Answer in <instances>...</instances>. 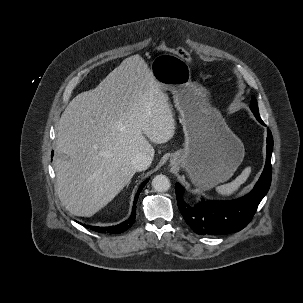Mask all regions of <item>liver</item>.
Here are the masks:
<instances>
[{
  "label": "liver",
  "instance_id": "obj_1",
  "mask_svg": "<svg viewBox=\"0 0 303 303\" xmlns=\"http://www.w3.org/2000/svg\"><path fill=\"white\" fill-rule=\"evenodd\" d=\"M175 134V120L145 60L133 55L93 90L78 94L58 123L57 193L76 216L91 217L132 179L137 153L154 157Z\"/></svg>",
  "mask_w": 303,
  "mask_h": 303
}]
</instances>
